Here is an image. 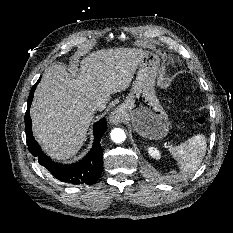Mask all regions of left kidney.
Returning <instances> with one entry per match:
<instances>
[{"label":"left kidney","instance_id":"1","mask_svg":"<svg viewBox=\"0 0 233 233\" xmlns=\"http://www.w3.org/2000/svg\"><path fill=\"white\" fill-rule=\"evenodd\" d=\"M148 153L151 157L155 158V159H160L161 157V153L159 152V150H157V148L155 147H150L148 148Z\"/></svg>","mask_w":233,"mask_h":233}]
</instances>
